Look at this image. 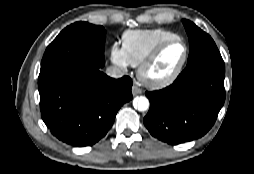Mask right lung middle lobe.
<instances>
[{
  "instance_id": "1",
  "label": "right lung middle lobe",
  "mask_w": 254,
  "mask_h": 174,
  "mask_svg": "<svg viewBox=\"0 0 254 174\" xmlns=\"http://www.w3.org/2000/svg\"><path fill=\"white\" fill-rule=\"evenodd\" d=\"M105 38L102 26L80 21L66 27L46 48L38 83L68 69L104 66Z\"/></svg>"
}]
</instances>
